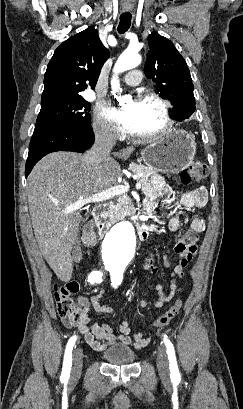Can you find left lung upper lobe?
Wrapping results in <instances>:
<instances>
[{"label":"left lung upper lobe","instance_id":"obj_1","mask_svg":"<svg viewBox=\"0 0 243 409\" xmlns=\"http://www.w3.org/2000/svg\"><path fill=\"white\" fill-rule=\"evenodd\" d=\"M148 42L146 77L156 83L157 92L172 102L174 118L191 116L195 111L194 87L186 61L173 43L158 33H151Z\"/></svg>","mask_w":243,"mask_h":409}]
</instances>
